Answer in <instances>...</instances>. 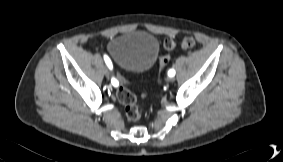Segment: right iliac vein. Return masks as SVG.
Here are the masks:
<instances>
[{
  "instance_id": "right-iliac-vein-1",
  "label": "right iliac vein",
  "mask_w": 283,
  "mask_h": 162,
  "mask_svg": "<svg viewBox=\"0 0 283 162\" xmlns=\"http://www.w3.org/2000/svg\"><path fill=\"white\" fill-rule=\"evenodd\" d=\"M104 74H105L107 77H109V70H108V69H105V70H104Z\"/></svg>"
}]
</instances>
